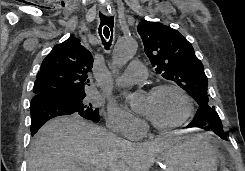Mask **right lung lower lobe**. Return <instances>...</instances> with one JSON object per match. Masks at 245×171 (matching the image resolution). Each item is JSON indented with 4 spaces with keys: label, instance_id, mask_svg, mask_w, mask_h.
<instances>
[{
    "label": "right lung lower lobe",
    "instance_id": "obj_1",
    "mask_svg": "<svg viewBox=\"0 0 245 171\" xmlns=\"http://www.w3.org/2000/svg\"><path fill=\"white\" fill-rule=\"evenodd\" d=\"M30 112H31V135L32 136L40 129V127L46 121H48L51 118L62 116V115H70L73 113L78 114L67 105L53 98L32 99L30 104ZM92 121L99 122L97 120H92Z\"/></svg>",
    "mask_w": 245,
    "mask_h": 171
}]
</instances>
